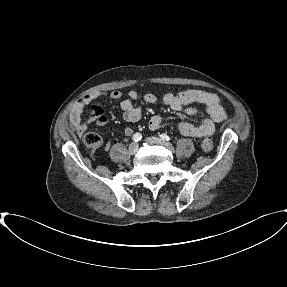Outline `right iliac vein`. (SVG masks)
Returning a JSON list of instances; mask_svg holds the SVG:
<instances>
[{"instance_id":"right-iliac-vein-1","label":"right iliac vein","mask_w":287,"mask_h":287,"mask_svg":"<svg viewBox=\"0 0 287 287\" xmlns=\"http://www.w3.org/2000/svg\"><path fill=\"white\" fill-rule=\"evenodd\" d=\"M128 151H129V153L132 154V155H133V154H136L137 151H138V144L135 143V142L131 143V144L129 145Z\"/></svg>"}]
</instances>
